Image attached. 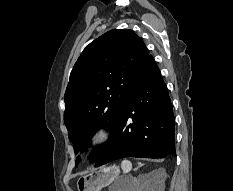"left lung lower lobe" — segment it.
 <instances>
[{"label": "left lung lower lobe", "mask_w": 233, "mask_h": 191, "mask_svg": "<svg viewBox=\"0 0 233 191\" xmlns=\"http://www.w3.org/2000/svg\"><path fill=\"white\" fill-rule=\"evenodd\" d=\"M113 132L96 167L124 157L176 156L173 108L152 55L134 79Z\"/></svg>", "instance_id": "1"}]
</instances>
